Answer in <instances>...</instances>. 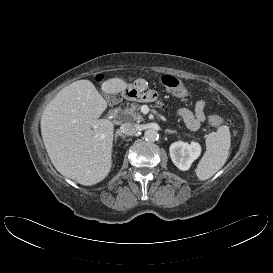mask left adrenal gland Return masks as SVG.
I'll use <instances>...</instances> for the list:
<instances>
[{
  "label": "left adrenal gland",
  "mask_w": 273,
  "mask_h": 273,
  "mask_svg": "<svg viewBox=\"0 0 273 273\" xmlns=\"http://www.w3.org/2000/svg\"><path fill=\"white\" fill-rule=\"evenodd\" d=\"M165 133L173 134V133H175V131H172V130L167 129V130L165 131Z\"/></svg>",
  "instance_id": "a2214340"
}]
</instances>
